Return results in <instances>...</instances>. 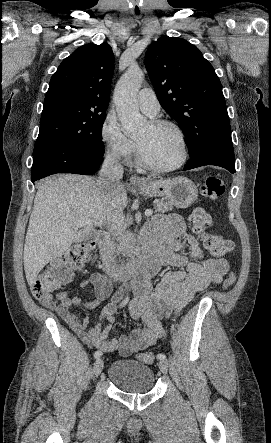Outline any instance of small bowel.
Wrapping results in <instances>:
<instances>
[{"mask_svg": "<svg viewBox=\"0 0 271 443\" xmlns=\"http://www.w3.org/2000/svg\"><path fill=\"white\" fill-rule=\"evenodd\" d=\"M155 237L159 245L152 253L149 266L131 285L134 298L129 304V314L138 326L129 335L109 338L110 325L116 320L117 303L124 289L103 308L95 325L90 324L88 316L79 318L71 311L72 306L84 310L96 308L110 296L112 282L101 273L94 272L80 283L82 289L88 285L93 287L94 296L87 301L61 291L57 294L58 303L52 295L39 299L40 303L55 311L84 343L100 351H117L127 357L155 344L165 335L163 320L181 313L195 294L220 283L228 271V263L223 258H205L200 242L187 231L178 215L168 216ZM182 250H187L189 256L181 254ZM162 266L177 269L165 273L153 286L151 279Z\"/></svg>", "mask_w": 271, "mask_h": 443, "instance_id": "c3829d8e", "label": "small bowel"}]
</instances>
